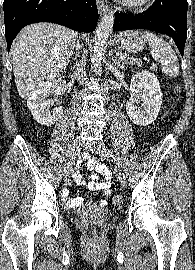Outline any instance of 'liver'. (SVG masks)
I'll return each instance as SVG.
<instances>
[{"mask_svg":"<svg viewBox=\"0 0 195 270\" xmlns=\"http://www.w3.org/2000/svg\"><path fill=\"white\" fill-rule=\"evenodd\" d=\"M77 33L52 23L32 24L18 34L11 47L13 72L21 98L30 97L56 79L73 55Z\"/></svg>","mask_w":195,"mask_h":270,"instance_id":"liver-1","label":"liver"}]
</instances>
